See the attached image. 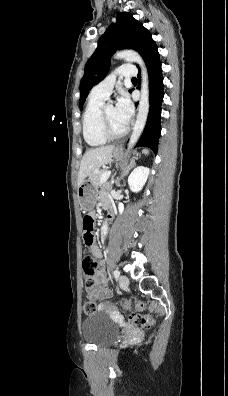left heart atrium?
Masks as SVG:
<instances>
[{"label": "left heart atrium", "mask_w": 228, "mask_h": 396, "mask_svg": "<svg viewBox=\"0 0 228 396\" xmlns=\"http://www.w3.org/2000/svg\"><path fill=\"white\" fill-rule=\"evenodd\" d=\"M115 109L118 119L127 125L133 113V106L126 94L123 93L118 98Z\"/></svg>", "instance_id": "39dd6f15"}]
</instances>
